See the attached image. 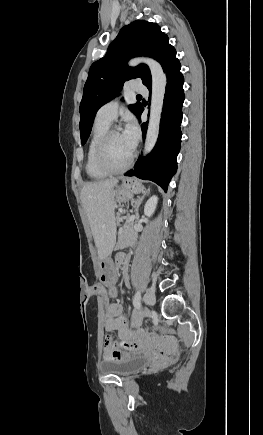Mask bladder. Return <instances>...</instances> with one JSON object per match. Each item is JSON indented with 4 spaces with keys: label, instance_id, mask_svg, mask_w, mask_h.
<instances>
[{
    "label": "bladder",
    "instance_id": "31cf9c89",
    "mask_svg": "<svg viewBox=\"0 0 263 435\" xmlns=\"http://www.w3.org/2000/svg\"><path fill=\"white\" fill-rule=\"evenodd\" d=\"M147 364L148 359L146 357L131 354L124 359L103 364L101 371L107 375L125 377L138 372Z\"/></svg>",
    "mask_w": 263,
    "mask_h": 435
}]
</instances>
